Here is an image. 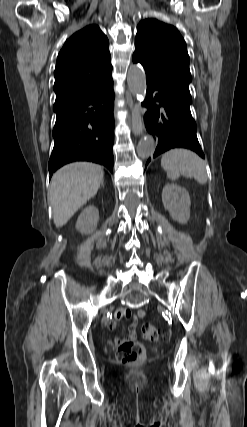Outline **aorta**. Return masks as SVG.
Here are the masks:
<instances>
[{"label": "aorta", "instance_id": "obj_1", "mask_svg": "<svg viewBox=\"0 0 247 427\" xmlns=\"http://www.w3.org/2000/svg\"><path fill=\"white\" fill-rule=\"evenodd\" d=\"M127 82L131 93L137 96L138 99H143L146 92V75L145 71L140 66H131L127 74ZM155 141L152 136L143 137L138 146L137 154L140 158H148L155 151Z\"/></svg>", "mask_w": 247, "mask_h": 427}]
</instances>
